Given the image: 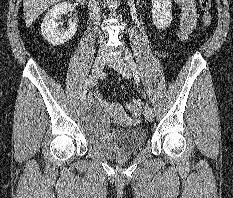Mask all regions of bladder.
<instances>
[{
    "instance_id": "bladder-1",
    "label": "bladder",
    "mask_w": 233,
    "mask_h": 198,
    "mask_svg": "<svg viewBox=\"0 0 233 198\" xmlns=\"http://www.w3.org/2000/svg\"><path fill=\"white\" fill-rule=\"evenodd\" d=\"M80 127L87 141L109 157L132 155L147 142V133L143 127L110 128L108 108L98 101L89 104L82 111Z\"/></svg>"
}]
</instances>
